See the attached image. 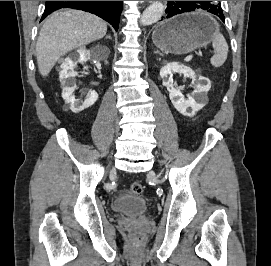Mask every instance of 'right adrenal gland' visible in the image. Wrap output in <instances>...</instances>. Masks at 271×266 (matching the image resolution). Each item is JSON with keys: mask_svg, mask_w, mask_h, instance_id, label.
I'll return each mask as SVG.
<instances>
[{"mask_svg": "<svg viewBox=\"0 0 271 266\" xmlns=\"http://www.w3.org/2000/svg\"><path fill=\"white\" fill-rule=\"evenodd\" d=\"M106 39H111L110 35L106 36Z\"/></svg>", "mask_w": 271, "mask_h": 266, "instance_id": "right-adrenal-gland-1", "label": "right adrenal gland"}]
</instances>
